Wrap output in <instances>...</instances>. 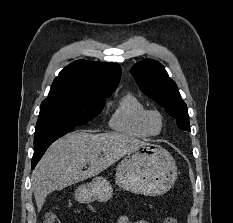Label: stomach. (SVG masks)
Wrapping results in <instances>:
<instances>
[{
    "mask_svg": "<svg viewBox=\"0 0 233 223\" xmlns=\"http://www.w3.org/2000/svg\"><path fill=\"white\" fill-rule=\"evenodd\" d=\"M176 177L177 165L172 155L161 145L144 141L119 161L115 183L131 193L162 195L172 187ZM73 195L79 203L108 201L113 195V187L106 177L99 175L78 185Z\"/></svg>",
    "mask_w": 233,
    "mask_h": 223,
    "instance_id": "0dacf381",
    "label": "stomach"
}]
</instances>
